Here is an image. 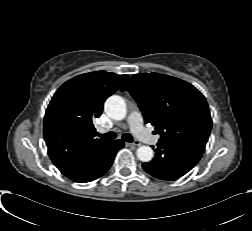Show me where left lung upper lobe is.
Wrapping results in <instances>:
<instances>
[{"instance_id":"5c2ea615","label":"left lung upper lobe","mask_w":252,"mask_h":231,"mask_svg":"<svg viewBox=\"0 0 252 231\" xmlns=\"http://www.w3.org/2000/svg\"><path fill=\"white\" fill-rule=\"evenodd\" d=\"M121 90L134 97L160 141L190 140L206 145L212 127L209 107L190 83L158 73L136 74Z\"/></svg>"}]
</instances>
